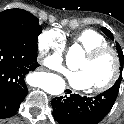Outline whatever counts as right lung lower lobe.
<instances>
[{
    "mask_svg": "<svg viewBox=\"0 0 124 124\" xmlns=\"http://www.w3.org/2000/svg\"><path fill=\"white\" fill-rule=\"evenodd\" d=\"M39 66L28 38L0 36V119L14 115L27 95L25 75Z\"/></svg>",
    "mask_w": 124,
    "mask_h": 124,
    "instance_id": "98d812e1",
    "label": "right lung lower lobe"
}]
</instances>
